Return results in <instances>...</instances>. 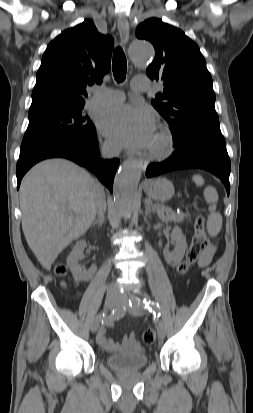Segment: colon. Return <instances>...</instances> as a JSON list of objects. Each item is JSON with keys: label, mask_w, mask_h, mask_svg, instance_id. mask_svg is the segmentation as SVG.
Instances as JSON below:
<instances>
[{"label": "colon", "mask_w": 253, "mask_h": 413, "mask_svg": "<svg viewBox=\"0 0 253 413\" xmlns=\"http://www.w3.org/2000/svg\"><path fill=\"white\" fill-rule=\"evenodd\" d=\"M210 247V241L205 231V221L202 215H198L195 220V232L191 244L186 252L184 260L178 266V273L185 274L195 263L200 261L203 253ZM55 273L58 276L67 274V267L64 264H58L55 267ZM155 331L146 329L143 332L142 340L145 344H152L155 340Z\"/></svg>", "instance_id": "1"}]
</instances>
